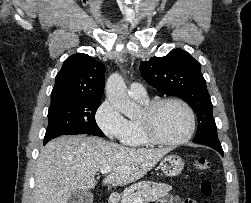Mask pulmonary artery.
Segmentation results:
<instances>
[{"instance_id": "pulmonary-artery-1", "label": "pulmonary artery", "mask_w": 251, "mask_h": 203, "mask_svg": "<svg viewBox=\"0 0 251 203\" xmlns=\"http://www.w3.org/2000/svg\"><path fill=\"white\" fill-rule=\"evenodd\" d=\"M128 93L133 99H136V100L148 99L147 91L145 87L138 82H133L130 84Z\"/></svg>"}]
</instances>
